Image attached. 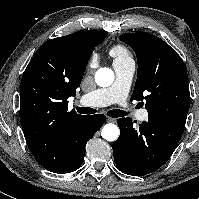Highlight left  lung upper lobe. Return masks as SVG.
Returning a JSON list of instances; mask_svg holds the SVG:
<instances>
[{"label": "left lung upper lobe", "mask_w": 199, "mask_h": 199, "mask_svg": "<svg viewBox=\"0 0 199 199\" xmlns=\"http://www.w3.org/2000/svg\"><path fill=\"white\" fill-rule=\"evenodd\" d=\"M119 39L132 47L138 60L131 100H146L148 117L184 128L190 92L181 57L166 42L150 33H125Z\"/></svg>", "instance_id": "5c2ea615"}]
</instances>
